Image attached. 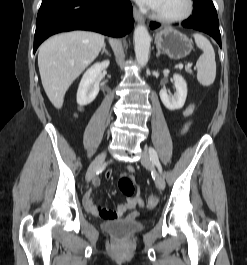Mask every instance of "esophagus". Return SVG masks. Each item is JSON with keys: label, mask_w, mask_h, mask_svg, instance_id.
<instances>
[{"label": "esophagus", "mask_w": 247, "mask_h": 265, "mask_svg": "<svg viewBox=\"0 0 247 265\" xmlns=\"http://www.w3.org/2000/svg\"><path fill=\"white\" fill-rule=\"evenodd\" d=\"M133 15H134L135 20L138 23H141V24L145 23L144 16L141 14V12L136 7H134L133 9Z\"/></svg>", "instance_id": "esophagus-1"}]
</instances>
